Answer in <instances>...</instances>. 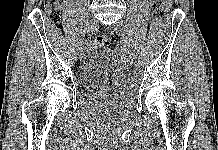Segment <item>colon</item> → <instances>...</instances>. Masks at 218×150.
<instances>
[{
  "instance_id": "obj_1",
  "label": "colon",
  "mask_w": 218,
  "mask_h": 150,
  "mask_svg": "<svg viewBox=\"0 0 218 150\" xmlns=\"http://www.w3.org/2000/svg\"><path fill=\"white\" fill-rule=\"evenodd\" d=\"M44 6L49 18L53 21H57L62 8V0H45ZM166 9L167 7L164 0L150 1V13L155 18H161L165 14ZM95 43L99 48L104 50H109L111 47V40L106 35H98Z\"/></svg>"
}]
</instances>
